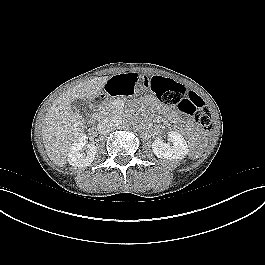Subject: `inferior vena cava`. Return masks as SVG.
<instances>
[{"label": "inferior vena cava", "instance_id": "obj_1", "mask_svg": "<svg viewBox=\"0 0 265 265\" xmlns=\"http://www.w3.org/2000/svg\"><path fill=\"white\" fill-rule=\"evenodd\" d=\"M112 122L109 119L101 120L97 125V130L100 134L106 135L112 130Z\"/></svg>", "mask_w": 265, "mask_h": 265}]
</instances>
